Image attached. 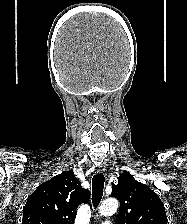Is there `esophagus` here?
<instances>
[{
	"label": "esophagus",
	"mask_w": 187,
	"mask_h": 224,
	"mask_svg": "<svg viewBox=\"0 0 187 224\" xmlns=\"http://www.w3.org/2000/svg\"><path fill=\"white\" fill-rule=\"evenodd\" d=\"M96 171H97V173L103 172L104 171L103 165H98L97 168H96Z\"/></svg>",
	"instance_id": "1"
}]
</instances>
